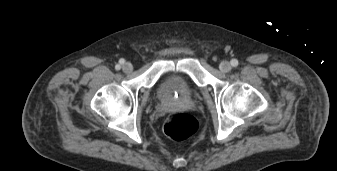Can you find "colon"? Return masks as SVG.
<instances>
[{"instance_id": "5ec220e1", "label": "colon", "mask_w": 337, "mask_h": 171, "mask_svg": "<svg viewBox=\"0 0 337 171\" xmlns=\"http://www.w3.org/2000/svg\"><path fill=\"white\" fill-rule=\"evenodd\" d=\"M198 128L197 119L191 114L184 112L170 113L163 121V131L166 136L177 141L193 136Z\"/></svg>"}]
</instances>
